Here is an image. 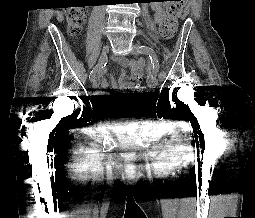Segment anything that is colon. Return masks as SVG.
Instances as JSON below:
<instances>
[{
    "mask_svg": "<svg viewBox=\"0 0 255 218\" xmlns=\"http://www.w3.org/2000/svg\"><path fill=\"white\" fill-rule=\"evenodd\" d=\"M186 0H170L167 6L166 16L160 25V32L164 39H171L177 30V22ZM68 31L75 36L82 32L87 21V9L85 7H71L66 11ZM142 91L144 88L141 89Z\"/></svg>",
    "mask_w": 255,
    "mask_h": 218,
    "instance_id": "1",
    "label": "colon"
}]
</instances>
